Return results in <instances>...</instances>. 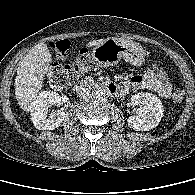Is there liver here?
<instances>
[{"label":"liver","mask_w":195,"mask_h":195,"mask_svg":"<svg viewBox=\"0 0 195 195\" xmlns=\"http://www.w3.org/2000/svg\"><path fill=\"white\" fill-rule=\"evenodd\" d=\"M106 39L91 41L88 47L97 46ZM52 55L47 44L38 43L19 63L15 78V95L19 106L26 112H31L34 102L43 86V80L50 68Z\"/></svg>","instance_id":"6515ba94"}]
</instances>
